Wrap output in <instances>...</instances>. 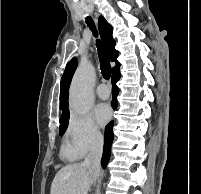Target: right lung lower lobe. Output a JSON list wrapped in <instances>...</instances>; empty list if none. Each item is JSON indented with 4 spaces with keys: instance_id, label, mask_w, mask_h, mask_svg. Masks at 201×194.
<instances>
[{
    "instance_id": "98d812e1",
    "label": "right lung lower lobe",
    "mask_w": 201,
    "mask_h": 194,
    "mask_svg": "<svg viewBox=\"0 0 201 194\" xmlns=\"http://www.w3.org/2000/svg\"><path fill=\"white\" fill-rule=\"evenodd\" d=\"M120 78V73L119 70L112 72V77H111V82H112V102L111 105L113 107V109L117 108V95L119 93V88L116 86V82L119 80ZM113 121H111L105 128V135H104V150H103V156L101 159V164L102 167L105 168L109 158H110V154H111V144L113 141Z\"/></svg>"
}]
</instances>
